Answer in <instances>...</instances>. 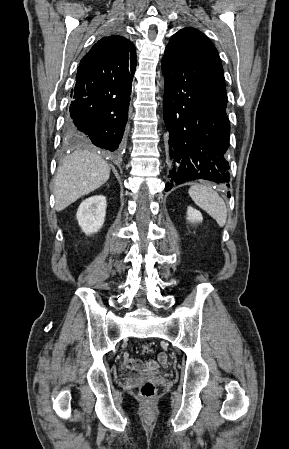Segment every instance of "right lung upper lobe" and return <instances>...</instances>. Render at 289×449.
I'll return each instance as SVG.
<instances>
[{
  "mask_svg": "<svg viewBox=\"0 0 289 449\" xmlns=\"http://www.w3.org/2000/svg\"><path fill=\"white\" fill-rule=\"evenodd\" d=\"M136 68L135 46L119 35L103 37L81 59L77 79L103 80L134 71Z\"/></svg>",
  "mask_w": 289,
  "mask_h": 449,
  "instance_id": "1",
  "label": "right lung upper lobe"
}]
</instances>
